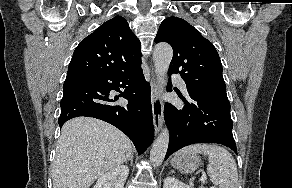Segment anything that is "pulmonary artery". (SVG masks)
Listing matches in <instances>:
<instances>
[{
    "mask_svg": "<svg viewBox=\"0 0 292 188\" xmlns=\"http://www.w3.org/2000/svg\"><path fill=\"white\" fill-rule=\"evenodd\" d=\"M172 78L177 80L179 87L184 91L187 92V87L184 81H182L176 74H172Z\"/></svg>",
    "mask_w": 292,
    "mask_h": 188,
    "instance_id": "obj_1",
    "label": "pulmonary artery"
}]
</instances>
